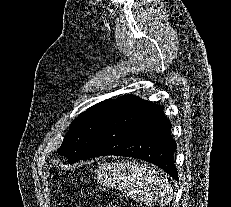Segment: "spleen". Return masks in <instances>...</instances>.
Wrapping results in <instances>:
<instances>
[{"label":"spleen","instance_id":"3e777b00","mask_svg":"<svg viewBox=\"0 0 231 207\" xmlns=\"http://www.w3.org/2000/svg\"><path fill=\"white\" fill-rule=\"evenodd\" d=\"M98 175L103 184L117 187L136 202L164 206L173 198L171 185L147 165L105 163L99 167Z\"/></svg>","mask_w":231,"mask_h":207}]
</instances>
